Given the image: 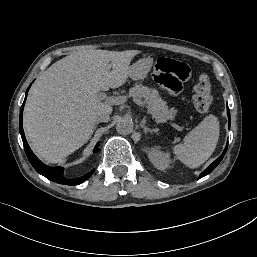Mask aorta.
<instances>
[{"instance_id": "1", "label": "aorta", "mask_w": 257, "mask_h": 257, "mask_svg": "<svg viewBox=\"0 0 257 257\" xmlns=\"http://www.w3.org/2000/svg\"><path fill=\"white\" fill-rule=\"evenodd\" d=\"M116 130L118 133L127 135L133 130V122L129 118H122L116 124Z\"/></svg>"}]
</instances>
